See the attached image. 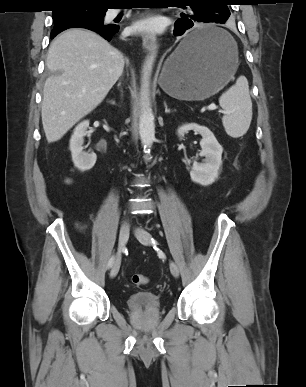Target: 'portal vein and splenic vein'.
Instances as JSON below:
<instances>
[{"label":"portal vein and splenic vein","instance_id":"18ae733b","mask_svg":"<svg viewBox=\"0 0 306 387\" xmlns=\"http://www.w3.org/2000/svg\"><path fill=\"white\" fill-rule=\"evenodd\" d=\"M218 107L214 104V103H212V104H210L209 106H208V109L209 110H216Z\"/></svg>","mask_w":306,"mask_h":387}]
</instances>
